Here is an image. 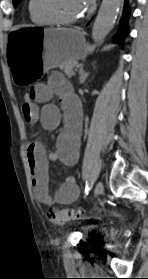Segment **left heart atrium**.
Listing matches in <instances>:
<instances>
[{"instance_id":"1","label":"left heart atrium","mask_w":148,"mask_h":279,"mask_svg":"<svg viewBox=\"0 0 148 279\" xmlns=\"http://www.w3.org/2000/svg\"><path fill=\"white\" fill-rule=\"evenodd\" d=\"M95 0H80L83 11L90 10L94 5Z\"/></svg>"}]
</instances>
